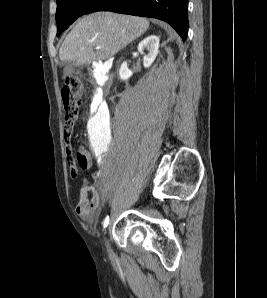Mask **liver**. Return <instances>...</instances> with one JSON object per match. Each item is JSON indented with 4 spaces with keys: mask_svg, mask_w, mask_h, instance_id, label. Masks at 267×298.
Returning <instances> with one entry per match:
<instances>
[{
    "mask_svg": "<svg viewBox=\"0 0 267 298\" xmlns=\"http://www.w3.org/2000/svg\"><path fill=\"white\" fill-rule=\"evenodd\" d=\"M148 28L149 21L142 17L92 13L80 19L66 36L59 50L60 60L76 65L108 60Z\"/></svg>",
    "mask_w": 267,
    "mask_h": 298,
    "instance_id": "obj_1",
    "label": "liver"
}]
</instances>
